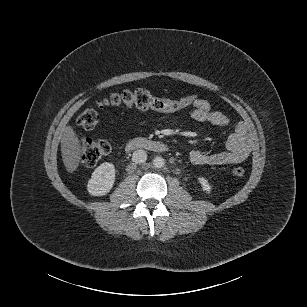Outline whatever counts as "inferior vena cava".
I'll return each mask as SVG.
<instances>
[{"mask_svg": "<svg viewBox=\"0 0 307 307\" xmlns=\"http://www.w3.org/2000/svg\"><path fill=\"white\" fill-rule=\"evenodd\" d=\"M147 160V153L143 149H138L134 151L132 155V161L134 163H144Z\"/></svg>", "mask_w": 307, "mask_h": 307, "instance_id": "obj_1", "label": "inferior vena cava"}]
</instances>
